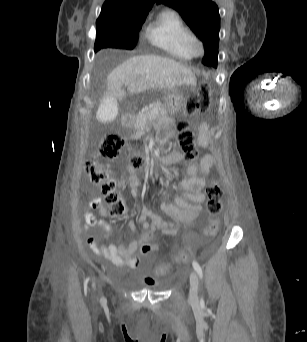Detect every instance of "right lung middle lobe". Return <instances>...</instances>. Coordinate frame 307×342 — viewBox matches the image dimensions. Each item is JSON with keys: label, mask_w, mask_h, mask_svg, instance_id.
Segmentation results:
<instances>
[{"label": "right lung middle lobe", "mask_w": 307, "mask_h": 342, "mask_svg": "<svg viewBox=\"0 0 307 342\" xmlns=\"http://www.w3.org/2000/svg\"><path fill=\"white\" fill-rule=\"evenodd\" d=\"M138 33H109L97 31L94 50L101 48L133 49L137 43Z\"/></svg>", "instance_id": "right-lung-middle-lobe-1"}]
</instances>
